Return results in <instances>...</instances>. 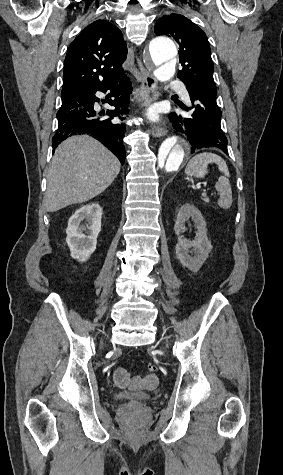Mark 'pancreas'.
Masks as SVG:
<instances>
[{"instance_id": "1", "label": "pancreas", "mask_w": 283, "mask_h": 475, "mask_svg": "<svg viewBox=\"0 0 283 475\" xmlns=\"http://www.w3.org/2000/svg\"><path fill=\"white\" fill-rule=\"evenodd\" d=\"M201 200H204V202H209V198H207V196H202Z\"/></svg>"}]
</instances>
